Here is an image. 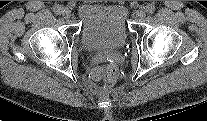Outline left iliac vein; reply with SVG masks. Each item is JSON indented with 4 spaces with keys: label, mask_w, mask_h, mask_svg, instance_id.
<instances>
[{
    "label": "left iliac vein",
    "mask_w": 207,
    "mask_h": 121,
    "mask_svg": "<svg viewBox=\"0 0 207 121\" xmlns=\"http://www.w3.org/2000/svg\"><path fill=\"white\" fill-rule=\"evenodd\" d=\"M137 16L140 18H144L146 16V8L141 7L138 11H137Z\"/></svg>",
    "instance_id": "1"
}]
</instances>
